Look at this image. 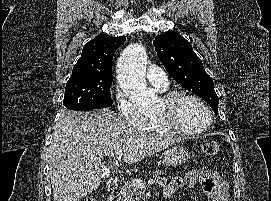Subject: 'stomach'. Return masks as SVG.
Listing matches in <instances>:
<instances>
[{"label":"stomach","instance_id":"obj_1","mask_svg":"<svg viewBox=\"0 0 271 201\" xmlns=\"http://www.w3.org/2000/svg\"><path fill=\"white\" fill-rule=\"evenodd\" d=\"M190 158L189 151L183 146H174L163 154V161L169 167H176L184 164Z\"/></svg>","mask_w":271,"mask_h":201}]
</instances>
